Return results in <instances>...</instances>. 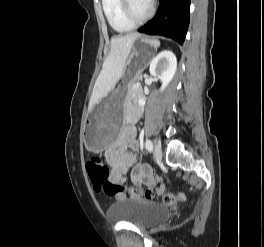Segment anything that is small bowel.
I'll list each match as a JSON object with an SVG mask.
<instances>
[{
  "instance_id": "1",
  "label": "small bowel",
  "mask_w": 264,
  "mask_h": 247,
  "mask_svg": "<svg viewBox=\"0 0 264 247\" xmlns=\"http://www.w3.org/2000/svg\"><path fill=\"white\" fill-rule=\"evenodd\" d=\"M138 112L132 111L127 125L122 130L120 136L106 150L105 157L112 166L110 181L123 183L130 170L135 169L132 174V182L136 185H145L150 188H157L159 178L153 173L150 166L146 164L136 165L135 157L127 151L138 150L137 130L135 122ZM163 189L159 188L161 192Z\"/></svg>"
}]
</instances>
